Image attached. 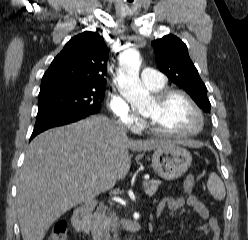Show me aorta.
<instances>
[{"label":"aorta","mask_w":248,"mask_h":240,"mask_svg":"<svg viewBox=\"0 0 248 240\" xmlns=\"http://www.w3.org/2000/svg\"><path fill=\"white\" fill-rule=\"evenodd\" d=\"M140 65V53L135 48L127 49L121 54L117 74L118 89L135 108L150 102L149 92L142 87L139 79Z\"/></svg>","instance_id":"aorta-1"}]
</instances>
